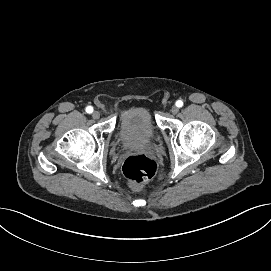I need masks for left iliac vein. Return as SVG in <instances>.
<instances>
[{"mask_svg": "<svg viewBox=\"0 0 271 271\" xmlns=\"http://www.w3.org/2000/svg\"><path fill=\"white\" fill-rule=\"evenodd\" d=\"M170 111H171V113L172 114H177L178 113V111H179V108L177 107V106H172L171 107V109H170Z\"/></svg>", "mask_w": 271, "mask_h": 271, "instance_id": "obj_1", "label": "left iliac vein"}]
</instances>
